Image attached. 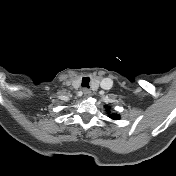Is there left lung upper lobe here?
Instances as JSON below:
<instances>
[{"label": "left lung upper lobe", "mask_w": 176, "mask_h": 176, "mask_svg": "<svg viewBox=\"0 0 176 176\" xmlns=\"http://www.w3.org/2000/svg\"><path fill=\"white\" fill-rule=\"evenodd\" d=\"M110 118L113 119V120H118L119 115L113 114V115H110Z\"/></svg>", "instance_id": "left-lung-upper-lobe-1"}]
</instances>
